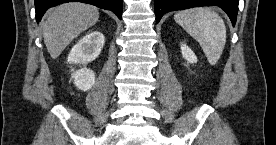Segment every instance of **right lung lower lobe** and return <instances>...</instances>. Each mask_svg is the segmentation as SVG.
<instances>
[{"mask_svg": "<svg viewBox=\"0 0 276 145\" xmlns=\"http://www.w3.org/2000/svg\"><path fill=\"white\" fill-rule=\"evenodd\" d=\"M79 1L95 5L99 8L110 10L122 19V0H35L36 21L40 22L46 10L61 3Z\"/></svg>", "mask_w": 276, "mask_h": 145, "instance_id": "obj_1", "label": "right lung lower lobe"}]
</instances>
